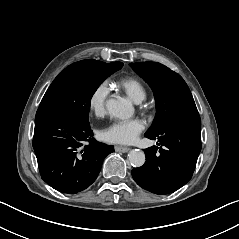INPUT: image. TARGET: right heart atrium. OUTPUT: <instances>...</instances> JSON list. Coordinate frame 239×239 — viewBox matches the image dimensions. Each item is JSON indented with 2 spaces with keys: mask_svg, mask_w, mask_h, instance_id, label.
Returning <instances> with one entry per match:
<instances>
[{
  "mask_svg": "<svg viewBox=\"0 0 239 239\" xmlns=\"http://www.w3.org/2000/svg\"><path fill=\"white\" fill-rule=\"evenodd\" d=\"M109 87L106 82L98 83L89 93L88 107L92 114L101 116L106 111Z\"/></svg>",
  "mask_w": 239,
  "mask_h": 239,
  "instance_id": "obj_1",
  "label": "right heart atrium"
}]
</instances>
